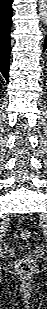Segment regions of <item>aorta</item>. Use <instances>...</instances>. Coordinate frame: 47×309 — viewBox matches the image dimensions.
<instances>
[{
    "instance_id": "1",
    "label": "aorta",
    "mask_w": 47,
    "mask_h": 309,
    "mask_svg": "<svg viewBox=\"0 0 47 309\" xmlns=\"http://www.w3.org/2000/svg\"><path fill=\"white\" fill-rule=\"evenodd\" d=\"M41 15L44 19L46 18V15H47V0H42Z\"/></svg>"
}]
</instances>
